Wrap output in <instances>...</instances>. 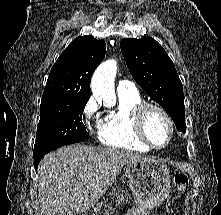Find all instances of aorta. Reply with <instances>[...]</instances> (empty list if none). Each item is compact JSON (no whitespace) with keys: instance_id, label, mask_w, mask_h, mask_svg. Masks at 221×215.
Returning <instances> with one entry per match:
<instances>
[{"instance_id":"762f6f07","label":"aorta","mask_w":221,"mask_h":215,"mask_svg":"<svg viewBox=\"0 0 221 215\" xmlns=\"http://www.w3.org/2000/svg\"><path fill=\"white\" fill-rule=\"evenodd\" d=\"M117 72V62L107 60L103 62L94 72L91 80V91L96 100L102 102L107 107L115 105L114 80Z\"/></svg>"}]
</instances>
